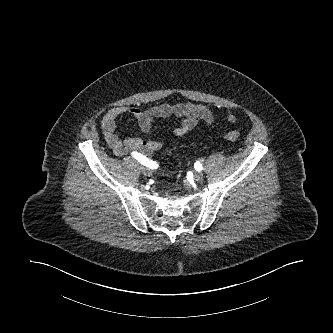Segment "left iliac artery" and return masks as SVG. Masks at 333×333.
<instances>
[{
  "instance_id": "obj_1",
  "label": "left iliac artery",
  "mask_w": 333,
  "mask_h": 333,
  "mask_svg": "<svg viewBox=\"0 0 333 333\" xmlns=\"http://www.w3.org/2000/svg\"><path fill=\"white\" fill-rule=\"evenodd\" d=\"M194 168L197 170V171H201L203 169L202 167V164L199 162V161H196L195 164H194Z\"/></svg>"
}]
</instances>
